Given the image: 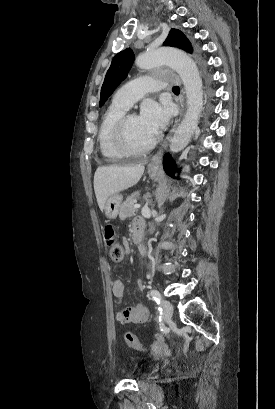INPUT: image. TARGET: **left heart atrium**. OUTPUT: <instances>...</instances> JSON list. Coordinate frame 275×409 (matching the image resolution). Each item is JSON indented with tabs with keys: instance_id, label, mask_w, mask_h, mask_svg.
Segmentation results:
<instances>
[{
	"instance_id": "39dd6f15",
	"label": "left heart atrium",
	"mask_w": 275,
	"mask_h": 409,
	"mask_svg": "<svg viewBox=\"0 0 275 409\" xmlns=\"http://www.w3.org/2000/svg\"><path fill=\"white\" fill-rule=\"evenodd\" d=\"M145 129L153 136L158 135L168 122V113L155 102H146L139 117Z\"/></svg>"
}]
</instances>
